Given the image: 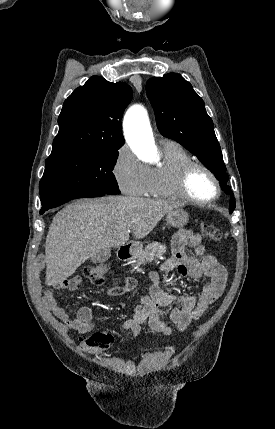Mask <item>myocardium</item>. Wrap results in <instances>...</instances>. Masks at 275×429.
Wrapping results in <instances>:
<instances>
[{
    "label": "myocardium",
    "mask_w": 275,
    "mask_h": 429,
    "mask_svg": "<svg viewBox=\"0 0 275 429\" xmlns=\"http://www.w3.org/2000/svg\"><path fill=\"white\" fill-rule=\"evenodd\" d=\"M197 169H201L206 172L215 183L216 193L210 199L199 200L193 197L189 191V179L192 173ZM175 187L178 195L182 199L195 205H208L214 203L221 195V183L217 175L207 165L198 161H189L180 168L176 177Z\"/></svg>",
    "instance_id": "1"
}]
</instances>
